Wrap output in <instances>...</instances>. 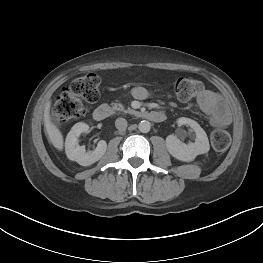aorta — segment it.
Wrapping results in <instances>:
<instances>
[{
    "mask_svg": "<svg viewBox=\"0 0 263 263\" xmlns=\"http://www.w3.org/2000/svg\"><path fill=\"white\" fill-rule=\"evenodd\" d=\"M138 129L142 133H148L151 129V124L148 121L143 120L139 123Z\"/></svg>",
    "mask_w": 263,
    "mask_h": 263,
    "instance_id": "obj_1",
    "label": "aorta"
}]
</instances>
